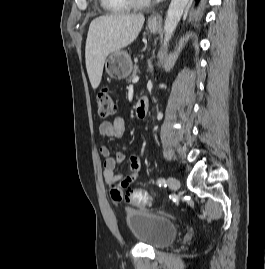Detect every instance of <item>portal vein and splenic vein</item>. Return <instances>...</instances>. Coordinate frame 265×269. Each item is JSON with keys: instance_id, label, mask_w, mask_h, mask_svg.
<instances>
[{"instance_id": "18ae733b", "label": "portal vein and splenic vein", "mask_w": 265, "mask_h": 269, "mask_svg": "<svg viewBox=\"0 0 265 269\" xmlns=\"http://www.w3.org/2000/svg\"><path fill=\"white\" fill-rule=\"evenodd\" d=\"M138 81H139V77H137V76L134 77L133 80H132L133 83H137Z\"/></svg>"}]
</instances>
